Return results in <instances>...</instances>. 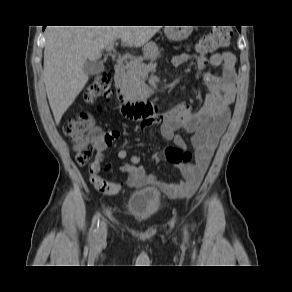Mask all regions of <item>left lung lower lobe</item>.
Masks as SVG:
<instances>
[{"label":"left lung lower lobe","instance_id":"0a47b994","mask_svg":"<svg viewBox=\"0 0 292 292\" xmlns=\"http://www.w3.org/2000/svg\"><path fill=\"white\" fill-rule=\"evenodd\" d=\"M237 28H238L239 31H241V28L240 27H237Z\"/></svg>","mask_w":292,"mask_h":292}]
</instances>
